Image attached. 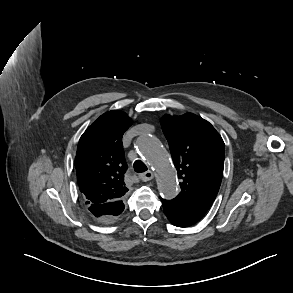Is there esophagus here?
I'll return each mask as SVG.
<instances>
[{
    "mask_svg": "<svg viewBox=\"0 0 293 293\" xmlns=\"http://www.w3.org/2000/svg\"><path fill=\"white\" fill-rule=\"evenodd\" d=\"M153 177H154V175H153L152 171H147L145 173L139 174V178L144 182L152 180Z\"/></svg>",
    "mask_w": 293,
    "mask_h": 293,
    "instance_id": "34e87169",
    "label": "esophagus"
}]
</instances>
